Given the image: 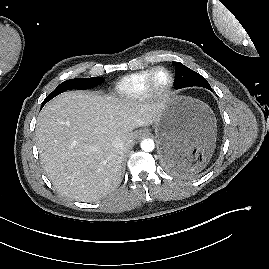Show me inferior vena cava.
Segmentation results:
<instances>
[{
    "mask_svg": "<svg viewBox=\"0 0 269 269\" xmlns=\"http://www.w3.org/2000/svg\"><path fill=\"white\" fill-rule=\"evenodd\" d=\"M112 146L118 150H122L124 148V142L122 139L116 138L115 140H113Z\"/></svg>",
    "mask_w": 269,
    "mask_h": 269,
    "instance_id": "obj_1",
    "label": "inferior vena cava"
}]
</instances>
